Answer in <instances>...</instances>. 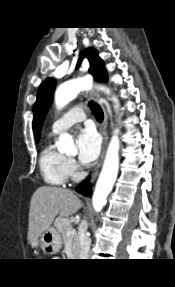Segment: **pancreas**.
Masks as SVG:
<instances>
[{
  "instance_id": "obj_1",
  "label": "pancreas",
  "mask_w": 175,
  "mask_h": 287,
  "mask_svg": "<svg viewBox=\"0 0 175 287\" xmlns=\"http://www.w3.org/2000/svg\"><path fill=\"white\" fill-rule=\"evenodd\" d=\"M54 227L55 229L61 233L62 239L65 242H67V240H71L72 242V252L74 255L77 254L78 252V248H79V242H78V235L75 232L74 234L68 236L67 235V231L71 230L72 228L69 226V224H67L65 222V220H63L62 218H57L54 222Z\"/></svg>"
}]
</instances>
